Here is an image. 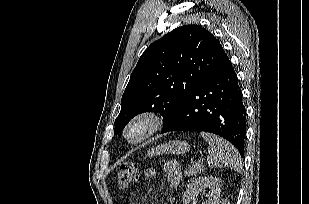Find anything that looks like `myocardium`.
I'll return each mask as SVG.
<instances>
[{"instance_id":"obj_1","label":"myocardium","mask_w":309,"mask_h":204,"mask_svg":"<svg viewBox=\"0 0 309 204\" xmlns=\"http://www.w3.org/2000/svg\"><path fill=\"white\" fill-rule=\"evenodd\" d=\"M139 124L146 125V129L140 137L133 139L130 137V131L134 126ZM162 124L163 118L158 112L144 111L136 114L128 121L124 127L123 136L128 143L137 145L146 141L153 134H155L161 128Z\"/></svg>"}]
</instances>
